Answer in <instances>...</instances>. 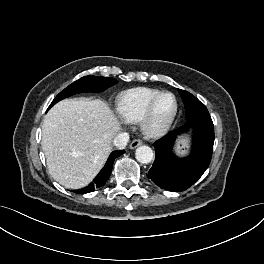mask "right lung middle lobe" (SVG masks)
Returning <instances> with one entry per match:
<instances>
[{
	"instance_id": "right-lung-middle-lobe-1",
	"label": "right lung middle lobe",
	"mask_w": 264,
	"mask_h": 264,
	"mask_svg": "<svg viewBox=\"0 0 264 264\" xmlns=\"http://www.w3.org/2000/svg\"><path fill=\"white\" fill-rule=\"evenodd\" d=\"M116 83H117V80L114 78H110V77H98V76L82 77L79 80L73 82L63 91H61L52 101L49 108L52 107L58 101L66 97H69L71 95L82 93V92H90V91L101 92L109 88L110 86L115 85Z\"/></svg>"
}]
</instances>
